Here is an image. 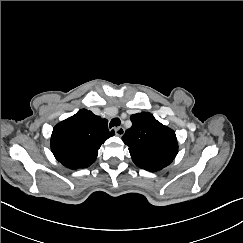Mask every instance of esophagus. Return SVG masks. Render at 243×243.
I'll return each mask as SVG.
<instances>
[{
    "label": "esophagus",
    "mask_w": 243,
    "mask_h": 243,
    "mask_svg": "<svg viewBox=\"0 0 243 243\" xmlns=\"http://www.w3.org/2000/svg\"><path fill=\"white\" fill-rule=\"evenodd\" d=\"M114 131H115V134H116L117 136H123V134H124V132H125V130H124L123 127H115V128H114Z\"/></svg>",
    "instance_id": "1"
}]
</instances>
